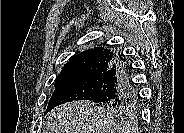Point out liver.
<instances>
[{
  "label": "liver",
  "mask_w": 184,
  "mask_h": 133,
  "mask_svg": "<svg viewBox=\"0 0 184 133\" xmlns=\"http://www.w3.org/2000/svg\"><path fill=\"white\" fill-rule=\"evenodd\" d=\"M46 133H120L121 124L91 101H73L54 108L47 117Z\"/></svg>",
  "instance_id": "obj_1"
}]
</instances>
